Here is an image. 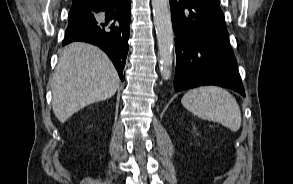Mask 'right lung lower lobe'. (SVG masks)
Segmentation results:
<instances>
[{"label": "right lung lower lobe", "mask_w": 293, "mask_h": 184, "mask_svg": "<svg viewBox=\"0 0 293 184\" xmlns=\"http://www.w3.org/2000/svg\"><path fill=\"white\" fill-rule=\"evenodd\" d=\"M130 6V0H96L73 4L62 45L73 41L97 45L107 53L124 81Z\"/></svg>", "instance_id": "1"}]
</instances>
